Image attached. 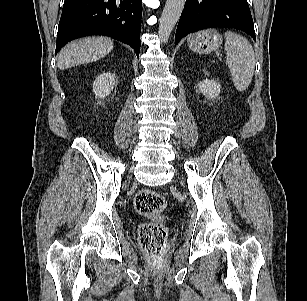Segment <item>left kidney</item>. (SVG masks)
<instances>
[{"label":"left kidney","mask_w":307,"mask_h":301,"mask_svg":"<svg viewBox=\"0 0 307 301\" xmlns=\"http://www.w3.org/2000/svg\"><path fill=\"white\" fill-rule=\"evenodd\" d=\"M197 88L208 99L218 97L221 92V86L215 80L203 79L197 84Z\"/></svg>","instance_id":"left-kidney-1"}]
</instances>
